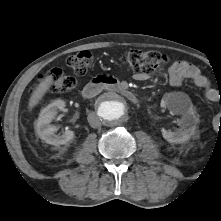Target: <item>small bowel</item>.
Instances as JSON below:
<instances>
[{
	"mask_svg": "<svg viewBox=\"0 0 221 221\" xmlns=\"http://www.w3.org/2000/svg\"><path fill=\"white\" fill-rule=\"evenodd\" d=\"M169 83L172 86L180 85L185 79L191 80L194 85L204 89L205 97L211 102H217L220 100V94L210 87L208 79L201 73L200 69L184 60H177L170 66L169 71ZM134 78L138 81H144L148 78V75L142 73H136Z\"/></svg>",
	"mask_w": 221,
	"mask_h": 221,
	"instance_id": "small-bowel-1",
	"label": "small bowel"
}]
</instances>
